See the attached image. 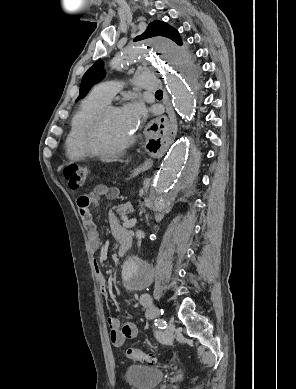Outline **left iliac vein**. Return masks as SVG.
<instances>
[{"mask_svg":"<svg viewBox=\"0 0 296 389\" xmlns=\"http://www.w3.org/2000/svg\"><path fill=\"white\" fill-rule=\"evenodd\" d=\"M174 332V325L171 321L168 322L166 329L164 331L166 338H171Z\"/></svg>","mask_w":296,"mask_h":389,"instance_id":"obj_1","label":"left iliac vein"}]
</instances>
